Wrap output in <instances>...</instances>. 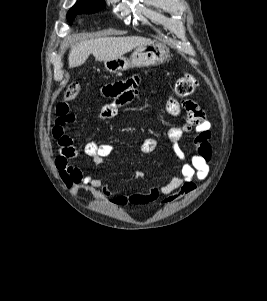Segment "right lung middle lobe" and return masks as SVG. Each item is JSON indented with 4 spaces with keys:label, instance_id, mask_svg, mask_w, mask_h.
Wrapping results in <instances>:
<instances>
[{
    "label": "right lung middle lobe",
    "instance_id": "dd1d6c3e",
    "mask_svg": "<svg viewBox=\"0 0 267 301\" xmlns=\"http://www.w3.org/2000/svg\"><path fill=\"white\" fill-rule=\"evenodd\" d=\"M104 0H79L68 12L67 19L72 23L76 15L81 13H94L105 7Z\"/></svg>",
    "mask_w": 267,
    "mask_h": 301
}]
</instances>
